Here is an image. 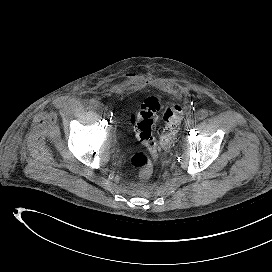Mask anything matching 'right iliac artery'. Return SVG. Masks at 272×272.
Segmentation results:
<instances>
[{
  "mask_svg": "<svg viewBox=\"0 0 272 272\" xmlns=\"http://www.w3.org/2000/svg\"><path fill=\"white\" fill-rule=\"evenodd\" d=\"M98 106H99L98 101H96L94 99H91L89 101V108H91V109H97Z\"/></svg>",
  "mask_w": 272,
  "mask_h": 272,
  "instance_id": "1",
  "label": "right iliac artery"
}]
</instances>
